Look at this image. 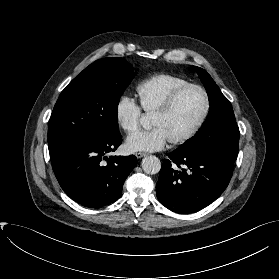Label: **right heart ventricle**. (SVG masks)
Instances as JSON below:
<instances>
[{
	"instance_id": "1",
	"label": "right heart ventricle",
	"mask_w": 279,
	"mask_h": 279,
	"mask_svg": "<svg viewBox=\"0 0 279 279\" xmlns=\"http://www.w3.org/2000/svg\"><path fill=\"white\" fill-rule=\"evenodd\" d=\"M188 83L189 81L183 77L167 73L146 78L136 87L141 108L146 113L152 114L174 89Z\"/></svg>"
}]
</instances>
